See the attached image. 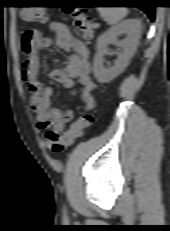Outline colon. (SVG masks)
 Segmentation results:
<instances>
[{"mask_svg": "<svg viewBox=\"0 0 170 231\" xmlns=\"http://www.w3.org/2000/svg\"><path fill=\"white\" fill-rule=\"evenodd\" d=\"M69 13L72 17L74 28L86 39H91L94 35L96 24L86 16L85 10L72 9ZM22 18L31 22H45L47 15L45 11L40 8H26L22 11ZM91 123V115L84 114L72 122L68 129L61 134L54 131L47 132L45 134L46 148L53 153L64 151L84 135Z\"/></svg>", "mask_w": 170, "mask_h": 231, "instance_id": "5ec220e1", "label": "colon"}]
</instances>
